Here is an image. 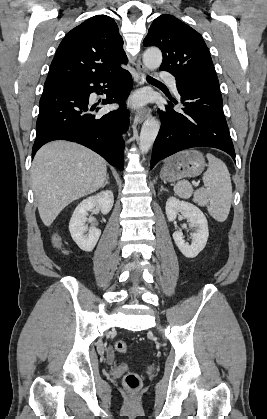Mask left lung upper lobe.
I'll list each match as a JSON object with an SVG mask.
<instances>
[{
    "mask_svg": "<svg viewBox=\"0 0 267 419\" xmlns=\"http://www.w3.org/2000/svg\"><path fill=\"white\" fill-rule=\"evenodd\" d=\"M144 46H157L163 54L161 70L176 77L182 89L212 86L219 81L210 52L202 36L172 15L157 17L143 41Z\"/></svg>",
    "mask_w": 267,
    "mask_h": 419,
    "instance_id": "1",
    "label": "left lung upper lobe"
}]
</instances>
